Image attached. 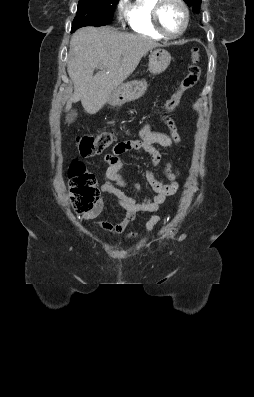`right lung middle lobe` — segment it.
<instances>
[{"label":"right lung middle lobe","instance_id":"dd1d6c3e","mask_svg":"<svg viewBox=\"0 0 254 397\" xmlns=\"http://www.w3.org/2000/svg\"><path fill=\"white\" fill-rule=\"evenodd\" d=\"M118 0H79L77 14L72 30L84 26H103L109 24L114 15Z\"/></svg>","mask_w":254,"mask_h":397}]
</instances>
